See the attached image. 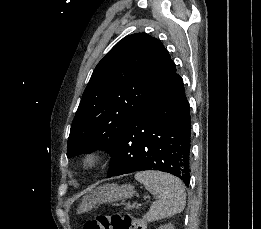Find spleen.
<instances>
[{"label": "spleen", "instance_id": "3e777b00", "mask_svg": "<svg viewBox=\"0 0 261 229\" xmlns=\"http://www.w3.org/2000/svg\"><path fill=\"white\" fill-rule=\"evenodd\" d=\"M135 179L157 199L144 217L146 223L173 217L185 209V187L177 177L161 171H141L136 173Z\"/></svg>", "mask_w": 261, "mask_h": 229}]
</instances>
